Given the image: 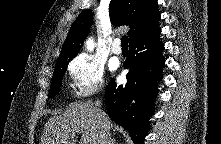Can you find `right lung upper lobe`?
<instances>
[{"label": "right lung upper lobe", "mask_w": 221, "mask_h": 144, "mask_svg": "<svg viewBox=\"0 0 221 144\" xmlns=\"http://www.w3.org/2000/svg\"><path fill=\"white\" fill-rule=\"evenodd\" d=\"M109 14L114 25H129V42L157 25L160 19L157 0H111ZM91 25L92 11L80 13L70 28L56 66L72 60L80 50Z\"/></svg>", "instance_id": "cb5924a9"}]
</instances>
